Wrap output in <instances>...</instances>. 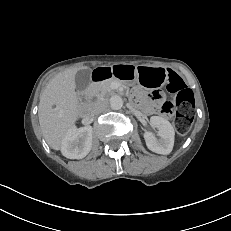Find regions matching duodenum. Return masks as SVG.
I'll list each match as a JSON object with an SVG mask.
<instances>
[{"label":"duodenum","instance_id":"410a0bca","mask_svg":"<svg viewBox=\"0 0 231 231\" xmlns=\"http://www.w3.org/2000/svg\"><path fill=\"white\" fill-rule=\"evenodd\" d=\"M96 72H97V71H96ZM90 96H91V93H90L89 91H85V92L82 93L81 98H82L84 101H87V100H89Z\"/></svg>","mask_w":231,"mask_h":231}]
</instances>
